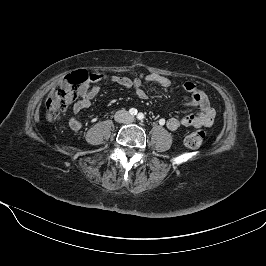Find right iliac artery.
Returning a JSON list of instances; mask_svg holds the SVG:
<instances>
[{
	"mask_svg": "<svg viewBox=\"0 0 266 266\" xmlns=\"http://www.w3.org/2000/svg\"><path fill=\"white\" fill-rule=\"evenodd\" d=\"M129 113H130V115L135 116V115H137V110L135 108H131L129 110Z\"/></svg>",
	"mask_w": 266,
	"mask_h": 266,
	"instance_id": "right-iliac-artery-1",
	"label": "right iliac artery"
}]
</instances>
